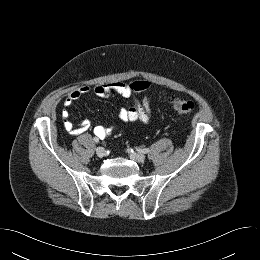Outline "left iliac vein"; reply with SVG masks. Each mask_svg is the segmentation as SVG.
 Listing matches in <instances>:
<instances>
[{
    "instance_id": "obj_1",
    "label": "left iliac vein",
    "mask_w": 260,
    "mask_h": 260,
    "mask_svg": "<svg viewBox=\"0 0 260 260\" xmlns=\"http://www.w3.org/2000/svg\"><path fill=\"white\" fill-rule=\"evenodd\" d=\"M129 157L135 162H143L145 160V155L141 153H130Z\"/></svg>"
}]
</instances>
